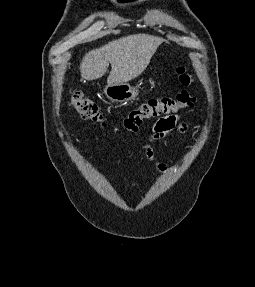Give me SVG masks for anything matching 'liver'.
<instances>
[{"mask_svg": "<svg viewBox=\"0 0 255 287\" xmlns=\"http://www.w3.org/2000/svg\"><path fill=\"white\" fill-rule=\"evenodd\" d=\"M162 42L163 38L148 34H134L108 42L102 48L85 54L80 64L81 78L98 80L111 64V72L107 78L109 86L134 80L149 66L153 54Z\"/></svg>", "mask_w": 255, "mask_h": 287, "instance_id": "obj_1", "label": "liver"}]
</instances>
